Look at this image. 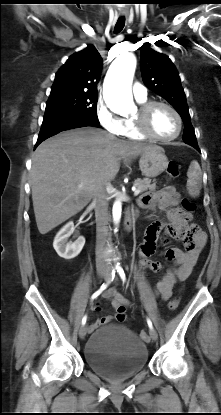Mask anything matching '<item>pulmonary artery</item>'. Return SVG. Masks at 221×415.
Wrapping results in <instances>:
<instances>
[{
  "instance_id": "obj_1",
  "label": "pulmonary artery",
  "mask_w": 221,
  "mask_h": 415,
  "mask_svg": "<svg viewBox=\"0 0 221 415\" xmlns=\"http://www.w3.org/2000/svg\"><path fill=\"white\" fill-rule=\"evenodd\" d=\"M133 93L137 100H143L147 98V89L139 82H135L133 85Z\"/></svg>"
}]
</instances>
